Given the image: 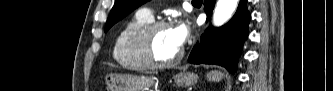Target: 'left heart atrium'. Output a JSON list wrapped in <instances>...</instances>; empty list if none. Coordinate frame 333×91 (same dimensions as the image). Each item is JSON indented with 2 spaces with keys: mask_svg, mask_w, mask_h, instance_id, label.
<instances>
[{
  "mask_svg": "<svg viewBox=\"0 0 333 91\" xmlns=\"http://www.w3.org/2000/svg\"><path fill=\"white\" fill-rule=\"evenodd\" d=\"M171 31L176 45L181 49L189 37V25L185 22H179L171 28Z\"/></svg>",
  "mask_w": 333,
  "mask_h": 91,
  "instance_id": "left-heart-atrium-1",
  "label": "left heart atrium"
}]
</instances>
